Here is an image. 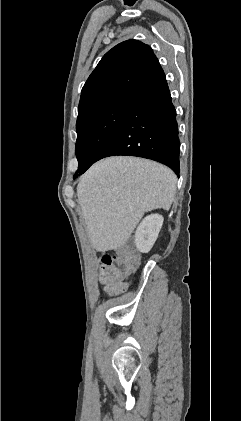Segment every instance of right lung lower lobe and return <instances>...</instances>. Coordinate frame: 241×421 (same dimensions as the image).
<instances>
[{
  "label": "right lung lower lobe",
  "mask_w": 241,
  "mask_h": 421,
  "mask_svg": "<svg viewBox=\"0 0 241 421\" xmlns=\"http://www.w3.org/2000/svg\"><path fill=\"white\" fill-rule=\"evenodd\" d=\"M179 153L176 110L162 73L132 98L120 126L95 162L113 155L137 156L165 164L178 174ZM87 169L77 170L74 177Z\"/></svg>",
  "instance_id": "98d812e1"
}]
</instances>
